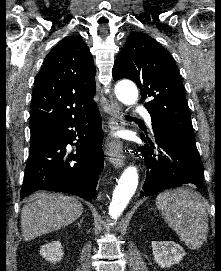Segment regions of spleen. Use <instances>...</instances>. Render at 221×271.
<instances>
[{
	"label": "spleen",
	"instance_id": "1",
	"mask_svg": "<svg viewBox=\"0 0 221 271\" xmlns=\"http://www.w3.org/2000/svg\"><path fill=\"white\" fill-rule=\"evenodd\" d=\"M157 207L162 209L164 221L178 233L190 249H198L208 235L206 203L192 189H167L157 197Z\"/></svg>",
	"mask_w": 221,
	"mask_h": 271
}]
</instances>
